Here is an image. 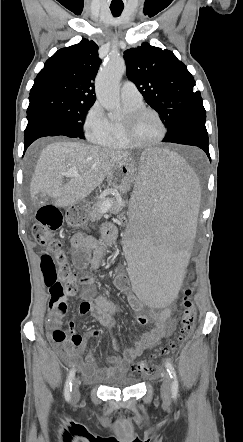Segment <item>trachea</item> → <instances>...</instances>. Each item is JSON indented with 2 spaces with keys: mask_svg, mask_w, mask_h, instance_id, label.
Masks as SVG:
<instances>
[{
  "mask_svg": "<svg viewBox=\"0 0 243 442\" xmlns=\"http://www.w3.org/2000/svg\"><path fill=\"white\" fill-rule=\"evenodd\" d=\"M123 9H124V6H110V10H111L112 15L114 17L120 16Z\"/></svg>",
  "mask_w": 243,
  "mask_h": 442,
  "instance_id": "1",
  "label": "trachea"
}]
</instances>
